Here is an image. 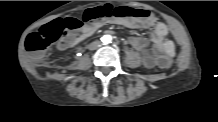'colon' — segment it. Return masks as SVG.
<instances>
[{
	"label": "colon",
	"instance_id": "5ec220e1",
	"mask_svg": "<svg viewBox=\"0 0 218 122\" xmlns=\"http://www.w3.org/2000/svg\"><path fill=\"white\" fill-rule=\"evenodd\" d=\"M136 18V23L143 28H151L154 25V17L150 11L144 7L128 6L127 4L104 3L98 6H89L81 11V20L84 23H91L93 20L106 18ZM79 21L74 15H65L57 20L48 22L43 28L40 36L29 35L25 39V48L31 53L42 50L44 43L46 46L53 45L66 36L77 30ZM173 65V60L169 57H162L158 60V67L163 72H168Z\"/></svg>",
	"mask_w": 218,
	"mask_h": 122
}]
</instances>
